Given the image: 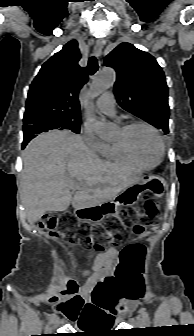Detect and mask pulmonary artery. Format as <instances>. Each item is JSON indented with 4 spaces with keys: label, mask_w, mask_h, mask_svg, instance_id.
<instances>
[{
    "label": "pulmonary artery",
    "mask_w": 194,
    "mask_h": 336,
    "mask_svg": "<svg viewBox=\"0 0 194 336\" xmlns=\"http://www.w3.org/2000/svg\"><path fill=\"white\" fill-rule=\"evenodd\" d=\"M97 108L100 112L107 116H114L115 115V103H114V96L111 92L104 93L98 100H97Z\"/></svg>",
    "instance_id": "pulmonary-artery-1"
}]
</instances>
